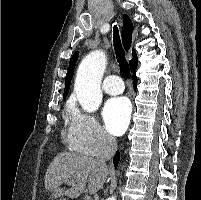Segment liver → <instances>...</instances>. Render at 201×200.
Returning <instances> with one entry per match:
<instances>
[{
  "mask_svg": "<svg viewBox=\"0 0 201 200\" xmlns=\"http://www.w3.org/2000/svg\"><path fill=\"white\" fill-rule=\"evenodd\" d=\"M108 175V169L102 167L97 159L70 152H62L56 155L45 174L44 185L47 191H51L53 198L66 200L80 196L88 183V191L91 194L99 191ZM71 183L70 189H62L63 183Z\"/></svg>",
  "mask_w": 201,
  "mask_h": 200,
  "instance_id": "6515ba94",
  "label": "liver"
}]
</instances>
